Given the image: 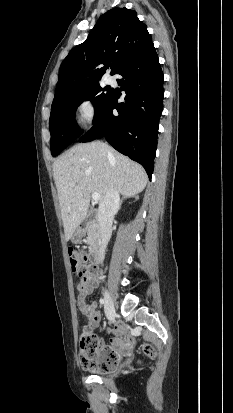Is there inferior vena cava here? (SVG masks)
I'll use <instances>...</instances> for the list:
<instances>
[{"instance_id": "obj_1", "label": "inferior vena cava", "mask_w": 233, "mask_h": 413, "mask_svg": "<svg viewBox=\"0 0 233 413\" xmlns=\"http://www.w3.org/2000/svg\"><path fill=\"white\" fill-rule=\"evenodd\" d=\"M111 155V153H109ZM120 207V196L118 190L110 188L103 202L98 209V223L101 237V246L99 249V258L104 259L106 246L111 238V226L114 215L118 212Z\"/></svg>"}]
</instances>
